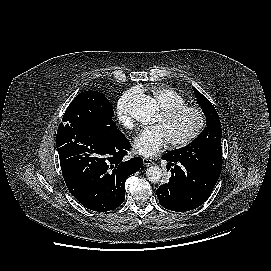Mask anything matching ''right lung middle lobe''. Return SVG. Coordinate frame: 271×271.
<instances>
[{"mask_svg":"<svg viewBox=\"0 0 271 271\" xmlns=\"http://www.w3.org/2000/svg\"><path fill=\"white\" fill-rule=\"evenodd\" d=\"M111 103L104 94L97 91H85L78 94L68 106L63 116V123L82 122L89 127L115 129Z\"/></svg>","mask_w":271,"mask_h":271,"instance_id":"1","label":"right lung middle lobe"}]
</instances>
